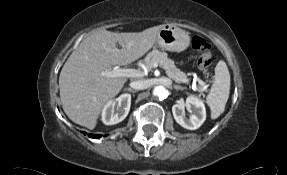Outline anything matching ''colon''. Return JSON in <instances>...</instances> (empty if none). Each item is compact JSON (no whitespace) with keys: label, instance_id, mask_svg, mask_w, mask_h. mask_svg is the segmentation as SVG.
<instances>
[{"label":"colon","instance_id":"obj_1","mask_svg":"<svg viewBox=\"0 0 287 175\" xmlns=\"http://www.w3.org/2000/svg\"><path fill=\"white\" fill-rule=\"evenodd\" d=\"M191 46L195 51L200 53L197 60V67L201 71H205L211 64V47L208 42L200 37L194 36L191 41Z\"/></svg>","mask_w":287,"mask_h":175}]
</instances>
